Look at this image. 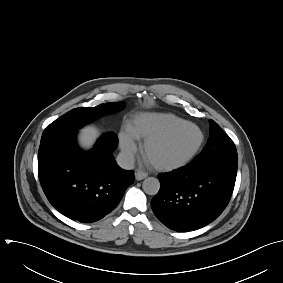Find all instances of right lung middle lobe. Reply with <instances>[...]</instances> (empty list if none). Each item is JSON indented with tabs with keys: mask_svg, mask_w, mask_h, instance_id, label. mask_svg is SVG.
I'll list each match as a JSON object with an SVG mask.
<instances>
[{
	"mask_svg": "<svg viewBox=\"0 0 283 283\" xmlns=\"http://www.w3.org/2000/svg\"><path fill=\"white\" fill-rule=\"evenodd\" d=\"M124 107L123 102L106 103L96 107L76 108L59 119L52 122L43 132L41 143L49 141L53 138L65 135L67 133L76 131L86 123L95 118L114 111H119Z\"/></svg>",
	"mask_w": 283,
	"mask_h": 283,
	"instance_id": "right-lung-middle-lobe-1",
	"label": "right lung middle lobe"
}]
</instances>
